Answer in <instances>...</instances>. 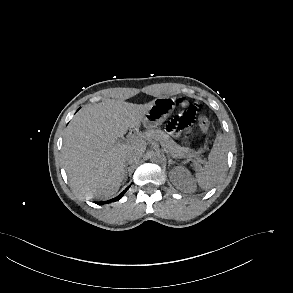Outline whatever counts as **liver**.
Wrapping results in <instances>:
<instances>
[{
	"mask_svg": "<svg viewBox=\"0 0 293 293\" xmlns=\"http://www.w3.org/2000/svg\"><path fill=\"white\" fill-rule=\"evenodd\" d=\"M153 101L133 104L107 99L81 109L69 123L62 157L72 188L86 198H109L124 179L125 155L145 152L143 140L121 143L129 128L138 130Z\"/></svg>",
	"mask_w": 293,
	"mask_h": 293,
	"instance_id": "6515ba94",
	"label": "liver"
}]
</instances>
